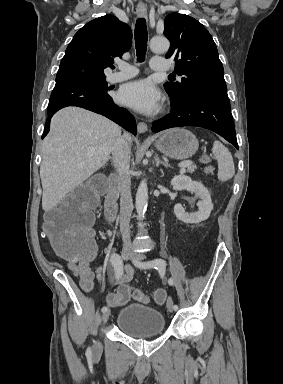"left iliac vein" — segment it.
<instances>
[{"label": "left iliac vein", "mask_w": 283, "mask_h": 384, "mask_svg": "<svg viewBox=\"0 0 283 384\" xmlns=\"http://www.w3.org/2000/svg\"><path fill=\"white\" fill-rule=\"evenodd\" d=\"M144 259H145V256L141 253L134 252L131 254V260H132L133 264L137 267H139V264L142 263V261H144ZM167 308L170 312H173V310H174L173 300L171 297H169L167 300Z\"/></svg>", "instance_id": "left-iliac-vein-1"}]
</instances>
